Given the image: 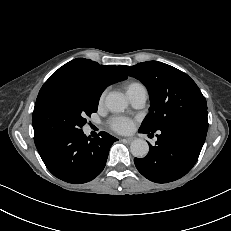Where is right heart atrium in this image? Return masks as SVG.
<instances>
[{
	"mask_svg": "<svg viewBox=\"0 0 231 231\" xmlns=\"http://www.w3.org/2000/svg\"><path fill=\"white\" fill-rule=\"evenodd\" d=\"M105 97V92H103L99 97V103H102Z\"/></svg>",
	"mask_w": 231,
	"mask_h": 231,
	"instance_id": "obj_1",
	"label": "right heart atrium"
}]
</instances>
